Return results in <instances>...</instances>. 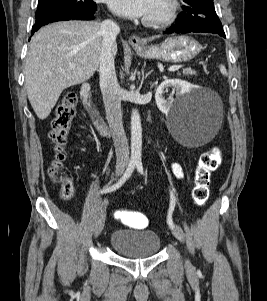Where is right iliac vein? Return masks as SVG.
Returning <instances> with one entry per match:
<instances>
[{"label": "right iliac vein", "mask_w": 267, "mask_h": 301, "mask_svg": "<svg viewBox=\"0 0 267 301\" xmlns=\"http://www.w3.org/2000/svg\"><path fill=\"white\" fill-rule=\"evenodd\" d=\"M124 172V166H118L115 171V178H119L122 173ZM105 217H106V202L103 203L99 209L97 218H96V224H95V230H94V237L98 238L104 228L105 224Z\"/></svg>", "instance_id": "63e3f726"}]
</instances>
